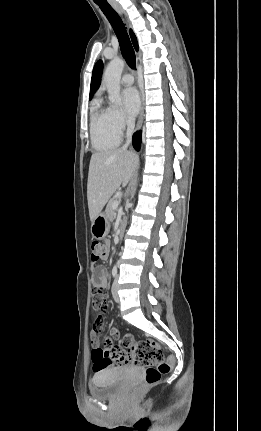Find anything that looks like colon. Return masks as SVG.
I'll use <instances>...</instances> for the list:
<instances>
[{"instance_id": "obj_1", "label": "colon", "mask_w": 261, "mask_h": 431, "mask_svg": "<svg viewBox=\"0 0 261 431\" xmlns=\"http://www.w3.org/2000/svg\"><path fill=\"white\" fill-rule=\"evenodd\" d=\"M107 253V244L99 241L92 242L91 260L93 262L103 259ZM109 343L107 342L104 348H98L93 351L95 361L93 372L96 375H99L104 368L113 369L115 367V362L111 359ZM122 345L128 349V352L124 353L117 349V356L121 357L125 363L144 367L146 385L157 383L163 374L170 371L171 363L166 360L163 350L155 341L149 339L136 341L131 335H126L122 340ZM140 391L141 387L137 386L131 390V393L136 395Z\"/></svg>"}]
</instances>
